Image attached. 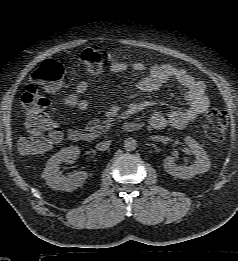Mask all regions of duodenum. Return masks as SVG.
<instances>
[{
    "instance_id": "obj_1",
    "label": "duodenum",
    "mask_w": 238,
    "mask_h": 261,
    "mask_svg": "<svg viewBox=\"0 0 238 261\" xmlns=\"http://www.w3.org/2000/svg\"><path fill=\"white\" fill-rule=\"evenodd\" d=\"M142 127V124L139 122H126L123 124V130L126 132H134L139 130ZM69 141L73 143H86L90 141V136L88 133L82 130H72L68 133Z\"/></svg>"
}]
</instances>
